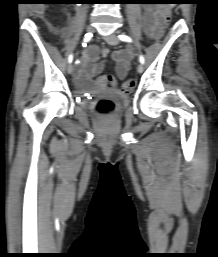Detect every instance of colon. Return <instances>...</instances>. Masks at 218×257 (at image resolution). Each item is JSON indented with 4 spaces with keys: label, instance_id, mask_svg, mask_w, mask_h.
Segmentation results:
<instances>
[{
    "label": "colon",
    "instance_id": "5ec220e1",
    "mask_svg": "<svg viewBox=\"0 0 218 257\" xmlns=\"http://www.w3.org/2000/svg\"><path fill=\"white\" fill-rule=\"evenodd\" d=\"M173 8H166V15H164L165 21H157L156 29L154 30V39H161L162 35L166 34V31H170L172 26ZM115 74L112 70H104L103 74H96V79H90V84L94 85V90H112L115 84H118V79H115ZM135 86L133 79L127 80L123 89L125 92H130ZM96 112L102 116H109L115 110V103L110 99H101L96 103Z\"/></svg>",
    "mask_w": 218,
    "mask_h": 257
}]
</instances>
